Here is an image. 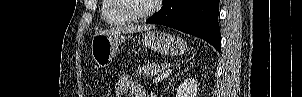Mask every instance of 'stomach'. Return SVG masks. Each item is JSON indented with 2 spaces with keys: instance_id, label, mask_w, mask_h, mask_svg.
<instances>
[{
  "instance_id": "stomach-1",
  "label": "stomach",
  "mask_w": 302,
  "mask_h": 97,
  "mask_svg": "<svg viewBox=\"0 0 302 97\" xmlns=\"http://www.w3.org/2000/svg\"><path fill=\"white\" fill-rule=\"evenodd\" d=\"M126 39L123 33L94 35L91 55L95 64L100 68L108 67L117 53L118 46ZM142 41L146 47L163 55L177 56L187 49L186 42L180 37L155 30L145 31Z\"/></svg>"
}]
</instances>
